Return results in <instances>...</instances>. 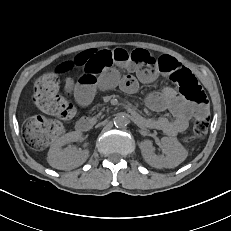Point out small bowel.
Listing matches in <instances>:
<instances>
[{
  "label": "small bowel",
  "instance_id": "small-bowel-1",
  "mask_svg": "<svg viewBox=\"0 0 231 231\" xmlns=\"http://www.w3.org/2000/svg\"><path fill=\"white\" fill-rule=\"evenodd\" d=\"M141 54L130 59V51L116 48L113 50H86L61 65L66 71L74 68L82 69L78 81L67 84L81 105H87L92 100L96 90H110L120 87L123 91L135 92L139 83L153 82L159 75L172 77L177 71L192 74L179 61L163 56L153 58L146 50L139 49ZM147 105L154 111L168 110L173 119L159 117L156 119H137L150 128L158 129L167 135H176L185 131L192 121L207 117L206 103H200L179 94L173 88L167 87L162 92H155L147 97Z\"/></svg>",
  "mask_w": 231,
  "mask_h": 231
}]
</instances>
